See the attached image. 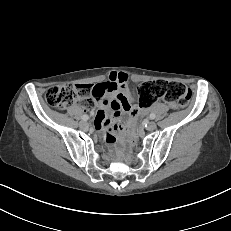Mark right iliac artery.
<instances>
[{
  "mask_svg": "<svg viewBox=\"0 0 231 231\" xmlns=\"http://www.w3.org/2000/svg\"><path fill=\"white\" fill-rule=\"evenodd\" d=\"M81 119L84 120V121H87V120L89 119V116H88V115H83V116L81 117Z\"/></svg>",
  "mask_w": 231,
  "mask_h": 231,
  "instance_id": "right-iliac-artery-1",
  "label": "right iliac artery"
}]
</instances>
